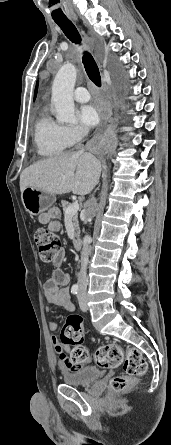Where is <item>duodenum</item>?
Masks as SVG:
<instances>
[{"mask_svg": "<svg viewBox=\"0 0 171 445\" xmlns=\"http://www.w3.org/2000/svg\"><path fill=\"white\" fill-rule=\"evenodd\" d=\"M82 246V240L80 238H75L73 241V247L75 250H80Z\"/></svg>", "mask_w": 171, "mask_h": 445, "instance_id": "410a0bca", "label": "duodenum"}]
</instances>
